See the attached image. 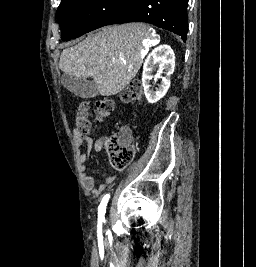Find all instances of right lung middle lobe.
Returning <instances> with one entry per match:
<instances>
[{
	"mask_svg": "<svg viewBox=\"0 0 256 267\" xmlns=\"http://www.w3.org/2000/svg\"><path fill=\"white\" fill-rule=\"evenodd\" d=\"M138 0H62L57 19L63 41L77 38L105 26L114 18L129 14Z\"/></svg>",
	"mask_w": 256,
	"mask_h": 267,
	"instance_id": "obj_1",
	"label": "right lung middle lobe"
}]
</instances>
